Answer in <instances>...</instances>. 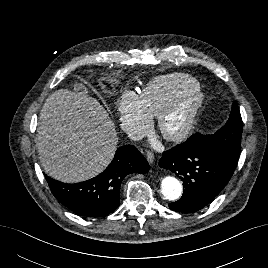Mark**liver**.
Segmentation results:
<instances>
[{
  "label": "liver",
  "mask_w": 268,
  "mask_h": 268,
  "mask_svg": "<svg viewBox=\"0 0 268 268\" xmlns=\"http://www.w3.org/2000/svg\"><path fill=\"white\" fill-rule=\"evenodd\" d=\"M81 87L82 92H53L39 115L37 148L42 167L48 176L65 183L101 173L112 161L118 143L109 114Z\"/></svg>",
  "instance_id": "liver-1"
}]
</instances>
